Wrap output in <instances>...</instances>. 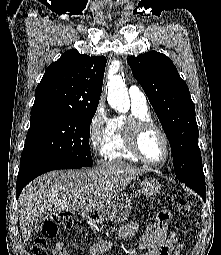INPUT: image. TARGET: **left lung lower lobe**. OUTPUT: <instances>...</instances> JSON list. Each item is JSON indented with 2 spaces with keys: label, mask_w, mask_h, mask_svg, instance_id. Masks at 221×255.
I'll use <instances>...</instances> for the list:
<instances>
[{
  "label": "left lung lower lobe",
  "mask_w": 221,
  "mask_h": 255,
  "mask_svg": "<svg viewBox=\"0 0 221 255\" xmlns=\"http://www.w3.org/2000/svg\"><path fill=\"white\" fill-rule=\"evenodd\" d=\"M185 185L189 186L191 189H193L195 192H197L202 199L206 200V187H205V181L201 182H182Z\"/></svg>",
  "instance_id": "left-lung-lower-lobe-1"
}]
</instances>
